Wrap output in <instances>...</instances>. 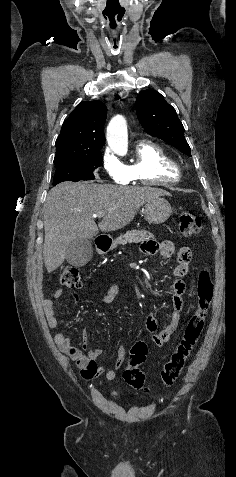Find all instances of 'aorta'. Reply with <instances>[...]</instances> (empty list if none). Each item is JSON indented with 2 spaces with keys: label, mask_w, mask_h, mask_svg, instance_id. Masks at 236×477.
Listing matches in <instances>:
<instances>
[{
  "label": "aorta",
  "mask_w": 236,
  "mask_h": 477,
  "mask_svg": "<svg viewBox=\"0 0 236 477\" xmlns=\"http://www.w3.org/2000/svg\"><path fill=\"white\" fill-rule=\"evenodd\" d=\"M106 138L109 146L119 154L128 151V133L125 119L117 115L111 119L107 127Z\"/></svg>",
  "instance_id": "1"
}]
</instances>
